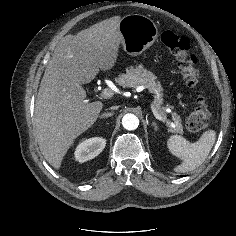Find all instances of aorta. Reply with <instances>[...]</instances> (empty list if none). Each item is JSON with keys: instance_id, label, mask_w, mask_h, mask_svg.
Segmentation results:
<instances>
[{"instance_id": "aorta-1", "label": "aorta", "mask_w": 236, "mask_h": 236, "mask_svg": "<svg viewBox=\"0 0 236 236\" xmlns=\"http://www.w3.org/2000/svg\"><path fill=\"white\" fill-rule=\"evenodd\" d=\"M122 125L126 130H135L139 125V119L134 114H125L122 118Z\"/></svg>"}]
</instances>
